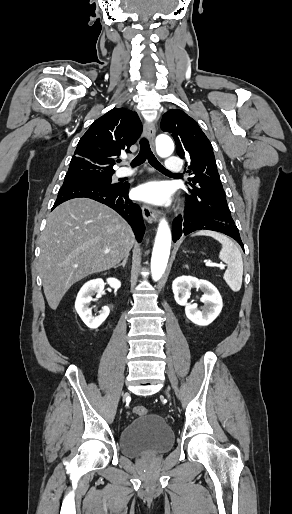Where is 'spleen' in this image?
I'll use <instances>...</instances> for the list:
<instances>
[{"instance_id": "3e777b00", "label": "spleen", "mask_w": 292, "mask_h": 514, "mask_svg": "<svg viewBox=\"0 0 292 514\" xmlns=\"http://www.w3.org/2000/svg\"><path fill=\"white\" fill-rule=\"evenodd\" d=\"M193 236H211V238L222 244L219 258L228 266L224 274V280L233 292H239L242 286L243 260L237 246L227 236L218 234V232H210V230H201V232H197Z\"/></svg>"}]
</instances>
